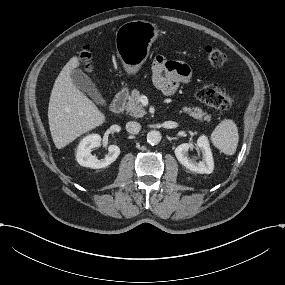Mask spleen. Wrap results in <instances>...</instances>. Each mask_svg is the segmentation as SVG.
Segmentation results:
<instances>
[{"instance_id":"3e777b00","label":"spleen","mask_w":285,"mask_h":285,"mask_svg":"<svg viewBox=\"0 0 285 285\" xmlns=\"http://www.w3.org/2000/svg\"><path fill=\"white\" fill-rule=\"evenodd\" d=\"M210 141L224 155L233 156L239 142V131L236 122L231 118L222 119L212 131Z\"/></svg>"}]
</instances>
